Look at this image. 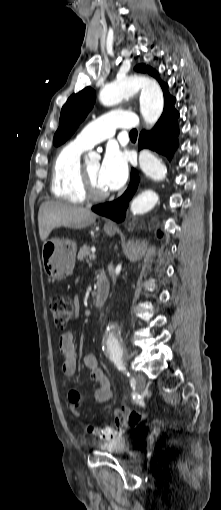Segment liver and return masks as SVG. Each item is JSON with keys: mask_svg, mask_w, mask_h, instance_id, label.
I'll list each match as a JSON object with an SVG mask.
<instances>
[{"mask_svg": "<svg viewBox=\"0 0 221 510\" xmlns=\"http://www.w3.org/2000/svg\"><path fill=\"white\" fill-rule=\"evenodd\" d=\"M97 215L91 210L60 201H46L38 213L39 236L45 241L58 227L81 229L91 225Z\"/></svg>", "mask_w": 221, "mask_h": 510, "instance_id": "6515ba94", "label": "liver"}]
</instances>
